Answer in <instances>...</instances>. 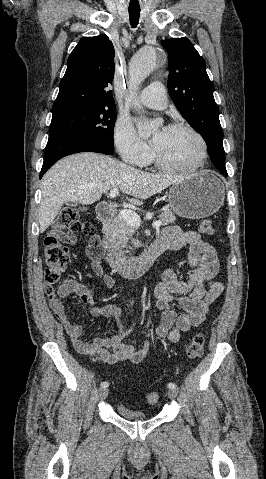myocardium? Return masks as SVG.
<instances>
[{
	"mask_svg": "<svg viewBox=\"0 0 266 479\" xmlns=\"http://www.w3.org/2000/svg\"><path fill=\"white\" fill-rule=\"evenodd\" d=\"M167 129L184 130L191 133L199 143L200 154L197 161L193 164L173 165L164 162L155 150L153 156L157 167L164 171L171 172H194L200 170L204 166L208 157V147L204 137L195 128L185 123H173L170 124Z\"/></svg>",
	"mask_w": 266,
	"mask_h": 479,
	"instance_id": "obj_1",
	"label": "myocardium"
}]
</instances>
